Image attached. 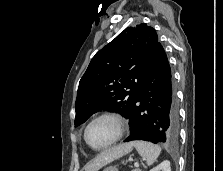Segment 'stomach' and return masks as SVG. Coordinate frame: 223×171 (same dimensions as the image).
<instances>
[{"label":"stomach","instance_id":"1","mask_svg":"<svg viewBox=\"0 0 223 171\" xmlns=\"http://www.w3.org/2000/svg\"><path fill=\"white\" fill-rule=\"evenodd\" d=\"M103 171H118V169L115 166H110L108 168H105Z\"/></svg>","mask_w":223,"mask_h":171}]
</instances>
